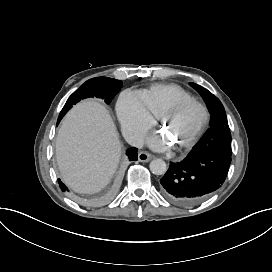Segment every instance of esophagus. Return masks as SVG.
Masks as SVG:
<instances>
[{
    "mask_svg": "<svg viewBox=\"0 0 272 272\" xmlns=\"http://www.w3.org/2000/svg\"><path fill=\"white\" fill-rule=\"evenodd\" d=\"M152 159V156L147 152H139L138 154V160L140 162H148Z\"/></svg>",
    "mask_w": 272,
    "mask_h": 272,
    "instance_id": "obj_1",
    "label": "esophagus"
}]
</instances>
